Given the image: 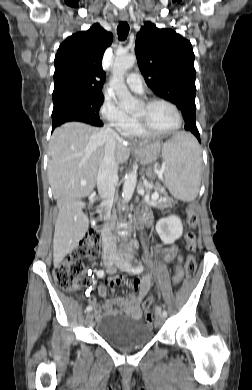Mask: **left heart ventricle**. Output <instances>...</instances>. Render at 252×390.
Listing matches in <instances>:
<instances>
[{
	"label": "left heart ventricle",
	"mask_w": 252,
	"mask_h": 390,
	"mask_svg": "<svg viewBox=\"0 0 252 390\" xmlns=\"http://www.w3.org/2000/svg\"><path fill=\"white\" fill-rule=\"evenodd\" d=\"M135 116L146 121L151 128L157 131L169 130L177 122L173 109L164 103L155 104L149 109L141 105Z\"/></svg>",
	"instance_id": "obj_1"
}]
</instances>
